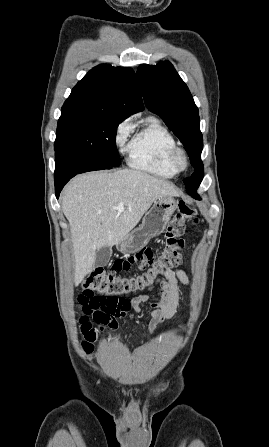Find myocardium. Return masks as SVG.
<instances>
[{
    "mask_svg": "<svg viewBox=\"0 0 269 447\" xmlns=\"http://www.w3.org/2000/svg\"><path fill=\"white\" fill-rule=\"evenodd\" d=\"M171 163L177 171H183L188 166V157L184 149L175 147L172 156Z\"/></svg>",
    "mask_w": 269,
    "mask_h": 447,
    "instance_id": "myocardium-1",
    "label": "myocardium"
}]
</instances>
